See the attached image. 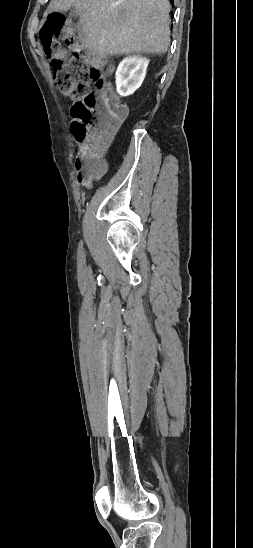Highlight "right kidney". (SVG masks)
Wrapping results in <instances>:
<instances>
[{"instance_id":"ca27d5eb","label":"right kidney","mask_w":253,"mask_h":548,"mask_svg":"<svg viewBox=\"0 0 253 548\" xmlns=\"http://www.w3.org/2000/svg\"><path fill=\"white\" fill-rule=\"evenodd\" d=\"M149 61L141 55H133L127 56L119 63L115 77L116 90L120 96H129L141 86Z\"/></svg>"}]
</instances>
